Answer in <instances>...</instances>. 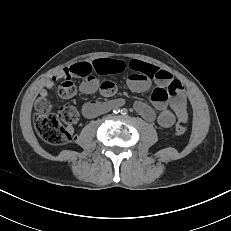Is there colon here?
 Wrapping results in <instances>:
<instances>
[{
  "instance_id": "1",
  "label": "colon",
  "mask_w": 231,
  "mask_h": 231,
  "mask_svg": "<svg viewBox=\"0 0 231 231\" xmlns=\"http://www.w3.org/2000/svg\"><path fill=\"white\" fill-rule=\"evenodd\" d=\"M58 92L64 98L73 95L75 85L71 76L66 77ZM77 120L78 112L73 106L65 105L59 109L58 113H54L51 103L46 100L36 109L34 128L45 142L55 146H63L71 141L69 126L75 124ZM186 123L187 120L179 119L174 128L175 134H183L186 131Z\"/></svg>"
}]
</instances>
